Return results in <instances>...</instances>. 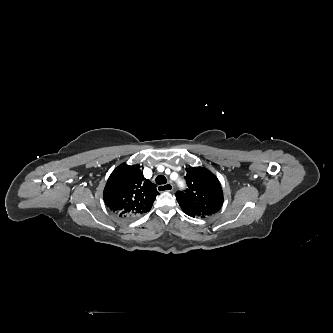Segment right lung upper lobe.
Listing matches in <instances>:
<instances>
[{
  "mask_svg": "<svg viewBox=\"0 0 333 333\" xmlns=\"http://www.w3.org/2000/svg\"><path fill=\"white\" fill-rule=\"evenodd\" d=\"M158 191L156 185L145 179L141 166H118L104 188L106 206L119 217L138 216L150 211Z\"/></svg>",
  "mask_w": 333,
  "mask_h": 333,
  "instance_id": "1",
  "label": "right lung upper lobe"
}]
</instances>
